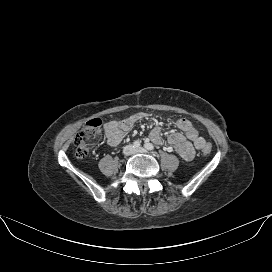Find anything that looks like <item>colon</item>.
<instances>
[{
  "instance_id": "obj_1",
  "label": "colon",
  "mask_w": 272,
  "mask_h": 272,
  "mask_svg": "<svg viewBox=\"0 0 272 272\" xmlns=\"http://www.w3.org/2000/svg\"><path fill=\"white\" fill-rule=\"evenodd\" d=\"M103 141V132L101 129V120L92 119L76 135L74 144L76 155L79 158H85L89 153ZM212 150L211 144L207 143L203 148V153L209 154Z\"/></svg>"
}]
</instances>
